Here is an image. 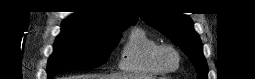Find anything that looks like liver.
<instances>
[{
	"label": "liver",
	"mask_w": 255,
	"mask_h": 79,
	"mask_svg": "<svg viewBox=\"0 0 255 79\" xmlns=\"http://www.w3.org/2000/svg\"><path fill=\"white\" fill-rule=\"evenodd\" d=\"M151 79L146 76H128V75H81L72 79Z\"/></svg>",
	"instance_id": "1"
}]
</instances>
